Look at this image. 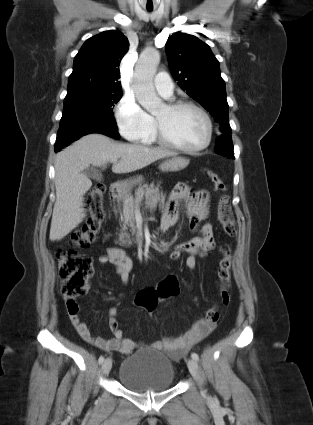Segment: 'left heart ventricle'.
Masks as SVG:
<instances>
[{
    "instance_id": "1",
    "label": "left heart ventricle",
    "mask_w": 313,
    "mask_h": 425,
    "mask_svg": "<svg viewBox=\"0 0 313 425\" xmlns=\"http://www.w3.org/2000/svg\"><path fill=\"white\" fill-rule=\"evenodd\" d=\"M155 118L159 120L166 134L184 147L195 148L206 139V122L202 115L193 109L171 112L164 106L155 114Z\"/></svg>"
}]
</instances>
